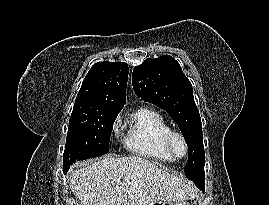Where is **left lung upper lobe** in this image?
<instances>
[{"label": "left lung upper lobe", "instance_id": "5c2ea615", "mask_svg": "<svg viewBox=\"0 0 269 205\" xmlns=\"http://www.w3.org/2000/svg\"><path fill=\"white\" fill-rule=\"evenodd\" d=\"M135 93L144 101L165 110L179 126L189 147L185 174L189 180L204 171L201 118L194 101L192 85L179 63L169 55L146 59L133 69Z\"/></svg>", "mask_w": 269, "mask_h": 205}]
</instances>
